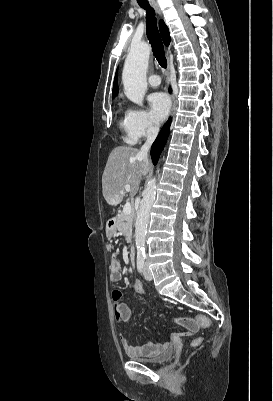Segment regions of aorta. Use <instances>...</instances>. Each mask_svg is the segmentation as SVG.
Instances as JSON below:
<instances>
[{
	"instance_id": "1",
	"label": "aorta",
	"mask_w": 273,
	"mask_h": 401,
	"mask_svg": "<svg viewBox=\"0 0 273 401\" xmlns=\"http://www.w3.org/2000/svg\"><path fill=\"white\" fill-rule=\"evenodd\" d=\"M150 56L147 43L132 46L122 73V81L126 97L135 104L142 105L147 90L146 72ZM156 196V178L148 181L144 196L140 202L135 222V244L137 257H145V237L151 207Z\"/></svg>"
}]
</instances>
